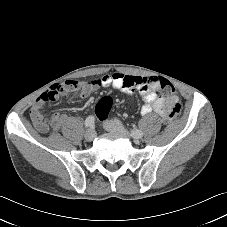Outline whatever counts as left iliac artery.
<instances>
[{"label": "left iliac artery", "instance_id": "left-iliac-artery-1", "mask_svg": "<svg viewBox=\"0 0 227 227\" xmlns=\"http://www.w3.org/2000/svg\"><path fill=\"white\" fill-rule=\"evenodd\" d=\"M131 136L134 138H141L143 136V132L141 130L135 129L131 131Z\"/></svg>", "mask_w": 227, "mask_h": 227}]
</instances>
